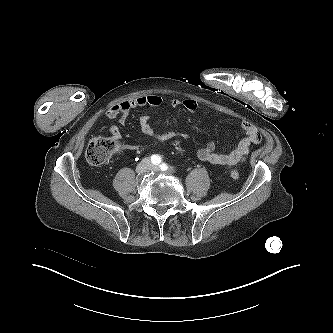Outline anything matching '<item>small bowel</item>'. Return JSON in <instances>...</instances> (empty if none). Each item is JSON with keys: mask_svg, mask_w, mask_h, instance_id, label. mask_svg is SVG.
Here are the masks:
<instances>
[{"mask_svg": "<svg viewBox=\"0 0 333 333\" xmlns=\"http://www.w3.org/2000/svg\"><path fill=\"white\" fill-rule=\"evenodd\" d=\"M162 104L163 99L160 95H142L111 106L107 110L105 117L108 120L118 118V122L121 125H125L131 110L140 107L157 108ZM168 105L171 108L182 106L189 112H196L199 108L197 101L191 98H174L168 102ZM139 124L141 132L156 142H165L176 137L183 139H188L189 137L187 133L181 131H165L161 133L156 132L151 126V116L148 114H144L140 117ZM240 129L243 133V136L229 154H222L217 152L215 142L209 141L205 146L197 150V157L201 161L209 162L213 165L222 166L227 169H232L235 166L242 164L249 156L250 146L252 144H259L262 141V135L258 129L248 121H243L240 125ZM108 131L112 137L120 139L121 135L117 126H109ZM129 148L133 151L140 152L144 147L140 145H132Z\"/></svg>", "mask_w": 333, "mask_h": 333, "instance_id": "1", "label": "small bowel"}]
</instances>
